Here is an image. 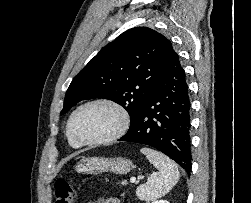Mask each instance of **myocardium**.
Masks as SVG:
<instances>
[{
  "mask_svg": "<svg viewBox=\"0 0 251 203\" xmlns=\"http://www.w3.org/2000/svg\"><path fill=\"white\" fill-rule=\"evenodd\" d=\"M94 105H103L113 109L119 116V124L111 134L105 137L93 140L82 139L78 137L74 132L73 129L74 118L81 110ZM129 126H130V115L127 109L123 105L111 99L97 98L81 104L72 112L68 120L67 130L71 138L80 145H103L114 142L117 139L121 138L127 132Z\"/></svg>",
  "mask_w": 251,
  "mask_h": 203,
  "instance_id": "1",
  "label": "myocardium"
}]
</instances>
